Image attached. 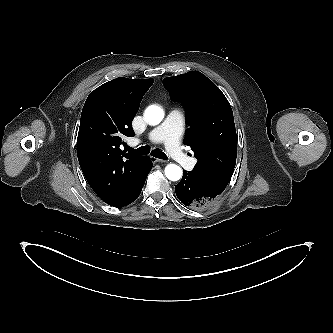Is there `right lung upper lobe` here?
Returning a JSON list of instances; mask_svg holds the SVG:
<instances>
[{
  "instance_id": "obj_1",
  "label": "right lung upper lobe",
  "mask_w": 333,
  "mask_h": 333,
  "mask_svg": "<svg viewBox=\"0 0 333 333\" xmlns=\"http://www.w3.org/2000/svg\"><path fill=\"white\" fill-rule=\"evenodd\" d=\"M153 79H113L90 93L81 114L77 155L94 192L107 204L118 206L128 196L145 156L119 147L131 127L143 95Z\"/></svg>"
}]
</instances>
